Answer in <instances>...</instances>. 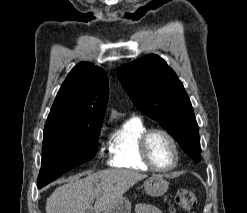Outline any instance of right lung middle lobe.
<instances>
[{
	"label": "right lung middle lobe",
	"mask_w": 247,
	"mask_h": 213,
	"mask_svg": "<svg viewBox=\"0 0 247 213\" xmlns=\"http://www.w3.org/2000/svg\"><path fill=\"white\" fill-rule=\"evenodd\" d=\"M100 129L101 126H45L38 188L91 160L98 149Z\"/></svg>",
	"instance_id": "dd1d6c3e"
}]
</instances>
